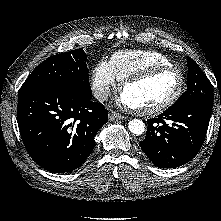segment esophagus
Wrapping results in <instances>:
<instances>
[{
	"instance_id": "34e87169",
	"label": "esophagus",
	"mask_w": 221,
	"mask_h": 221,
	"mask_svg": "<svg viewBox=\"0 0 221 221\" xmlns=\"http://www.w3.org/2000/svg\"><path fill=\"white\" fill-rule=\"evenodd\" d=\"M118 119H126V117L114 111L109 113V120L114 121Z\"/></svg>"
}]
</instances>
